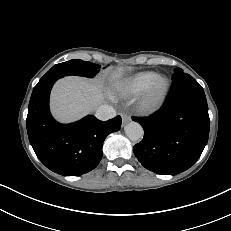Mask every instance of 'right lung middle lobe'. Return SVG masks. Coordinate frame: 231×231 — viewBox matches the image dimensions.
<instances>
[{
  "instance_id": "right-lung-middle-lobe-1",
  "label": "right lung middle lobe",
  "mask_w": 231,
  "mask_h": 231,
  "mask_svg": "<svg viewBox=\"0 0 231 231\" xmlns=\"http://www.w3.org/2000/svg\"><path fill=\"white\" fill-rule=\"evenodd\" d=\"M100 65L74 59L53 66L38 82L45 83L52 79H59L68 75L94 77L99 71Z\"/></svg>"
}]
</instances>
